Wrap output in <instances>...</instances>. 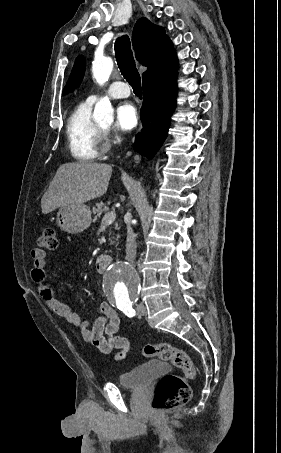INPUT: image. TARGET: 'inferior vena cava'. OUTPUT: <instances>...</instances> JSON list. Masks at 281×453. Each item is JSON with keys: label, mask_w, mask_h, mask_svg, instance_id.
I'll use <instances>...</instances> for the list:
<instances>
[{"label": "inferior vena cava", "mask_w": 281, "mask_h": 453, "mask_svg": "<svg viewBox=\"0 0 281 453\" xmlns=\"http://www.w3.org/2000/svg\"><path fill=\"white\" fill-rule=\"evenodd\" d=\"M135 233L131 227V218H127V241H126V257L129 263H134L136 257L137 245L135 243Z\"/></svg>", "instance_id": "obj_1"}]
</instances>
